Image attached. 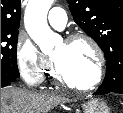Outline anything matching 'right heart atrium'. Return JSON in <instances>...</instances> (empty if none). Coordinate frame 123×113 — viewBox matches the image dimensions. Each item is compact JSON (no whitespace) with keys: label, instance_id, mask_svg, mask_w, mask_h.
Here are the masks:
<instances>
[{"label":"right heart atrium","instance_id":"d8ad5b80","mask_svg":"<svg viewBox=\"0 0 123 113\" xmlns=\"http://www.w3.org/2000/svg\"><path fill=\"white\" fill-rule=\"evenodd\" d=\"M15 61L21 78L29 86L40 85L51 66L50 60L25 33L17 36Z\"/></svg>","mask_w":123,"mask_h":113}]
</instances>
